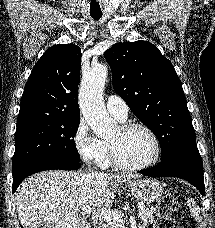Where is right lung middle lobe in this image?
Returning a JSON list of instances; mask_svg holds the SVG:
<instances>
[{
  "label": "right lung middle lobe",
  "mask_w": 215,
  "mask_h": 228,
  "mask_svg": "<svg viewBox=\"0 0 215 228\" xmlns=\"http://www.w3.org/2000/svg\"><path fill=\"white\" fill-rule=\"evenodd\" d=\"M80 119L37 121L17 125L12 165L52 158L80 162L74 137Z\"/></svg>",
  "instance_id": "dd1d6c3e"
}]
</instances>
